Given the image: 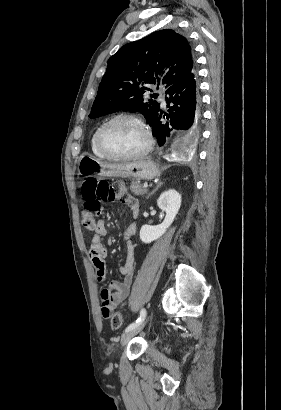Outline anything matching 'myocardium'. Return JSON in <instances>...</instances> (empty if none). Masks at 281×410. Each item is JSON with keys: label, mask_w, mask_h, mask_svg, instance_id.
I'll use <instances>...</instances> for the list:
<instances>
[{"label": "myocardium", "mask_w": 281, "mask_h": 410, "mask_svg": "<svg viewBox=\"0 0 281 410\" xmlns=\"http://www.w3.org/2000/svg\"><path fill=\"white\" fill-rule=\"evenodd\" d=\"M122 119H127V120H131L135 123H137L144 131L145 135H146V144L145 146L138 152L136 153H132V154H116L111 152L110 150H108L106 148V146L104 145L103 142V135L104 132L106 131V129L113 124L114 122L118 121V120H122ZM96 143H97V147L99 149V151L108 159H112V160H131V159H137V158H141L144 157L145 155H147L153 148L154 145V139H153V135L148 127V125L146 124V122L141 119L139 116L132 114V113H120L117 114L115 116H113L112 118L108 119L107 121H105L98 129L97 134H96Z\"/></svg>", "instance_id": "1"}]
</instances>
